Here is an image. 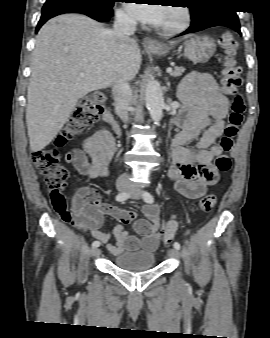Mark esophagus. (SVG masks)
Returning <instances> with one entry per match:
<instances>
[{
    "mask_svg": "<svg viewBox=\"0 0 270 338\" xmlns=\"http://www.w3.org/2000/svg\"><path fill=\"white\" fill-rule=\"evenodd\" d=\"M143 45L144 47H154V46H158L159 42L152 38L146 37L143 39Z\"/></svg>",
    "mask_w": 270,
    "mask_h": 338,
    "instance_id": "1",
    "label": "esophagus"
}]
</instances>
